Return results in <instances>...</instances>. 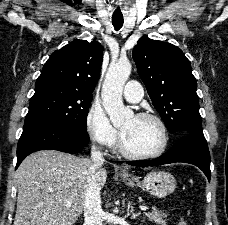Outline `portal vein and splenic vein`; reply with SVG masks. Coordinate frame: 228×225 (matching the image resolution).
Returning a JSON list of instances; mask_svg holds the SVG:
<instances>
[{
    "mask_svg": "<svg viewBox=\"0 0 228 225\" xmlns=\"http://www.w3.org/2000/svg\"><path fill=\"white\" fill-rule=\"evenodd\" d=\"M139 209H141V211H147V207H139Z\"/></svg>",
    "mask_w": 228,
    "mask_h": 225,
    "instance_id": "18ae733b",
    "label": "portal vein and splenic vein"
}]
</instances>
